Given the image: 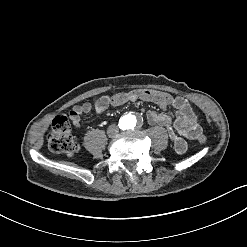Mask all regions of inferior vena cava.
I'll use <instances>...</instances> for the list:
<instances>
[{
	"mask_svg": "<svg viewBox=\"0 0 247 247\" xmlns=\"http://www.w3.org/2000/svg\"><path fill=\"white\" fill-rule=\"evenodd\" d=\"M107 133L109 137H115L119 133V127L116 125H110Z\"/></svg>",
	"mask_w": 247,
	"mask_h": 247,
	"instance_id": "1",
	"label": "inferior vena cava"
}]
</instances>
